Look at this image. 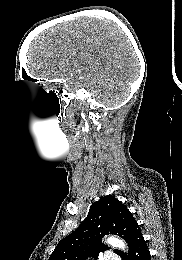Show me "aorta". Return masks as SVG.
I'll return each instance as SVG.
<instances>
[{"label": "aorta", "mask_w": 182, "mask_h": 260, "mask_svg": "<svg viewBox=\"0 0 182 260\" xmlns=\"http://www.w3.org/2000/svg\"><path fill=\"white\" fill-rule=\"evenodd\" d=\"M107 243L112 245L113 247H117L122 250L126 248L125 243L122 240L115 237L108 238Z\"/></svg>", "instance_id": "1"}]
</instances>
